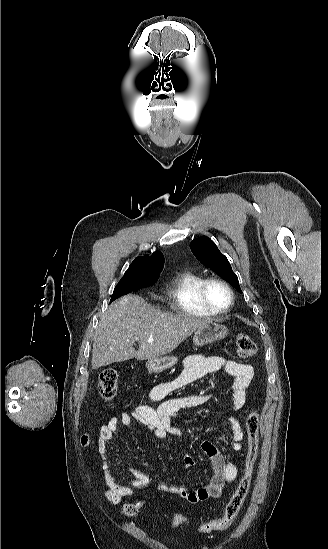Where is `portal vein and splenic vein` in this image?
Instances as JSON below:
<instances>
[{"label":"portal vein and splenic vein","mask_w":328,"mask_h":549,"mask_svg":"<svg viewBox=\"0 0 328 549\" xmlns=\"http://www.w3.org/2000/svg\"><path fill=\"white\" fill-rule=\"evenodd\" d=\"M148 343H152V341H148Z\"/></svg>","instance_id":"obj_1"}]
</instances>
